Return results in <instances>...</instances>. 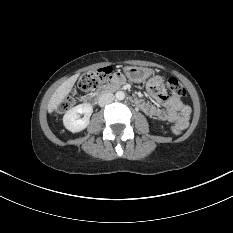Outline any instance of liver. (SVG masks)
Returning <instances> with one entry per match:
<instances>
[{"instance_id": "1", "label": "liver", "mask_w": 233, "mask_h": 233, "mask_svg": "<svg viewBox=\"0 0 233 233\" xmlns=\"http://www.w3.org/2000/svg\"><path fill=\"white\" fill-rule=\"evenodd\" d=\"M79 74H75L64 81L51 96L47 110L52 113L65 99V97L71 92Z\"/></svg>"}]
</instances>
